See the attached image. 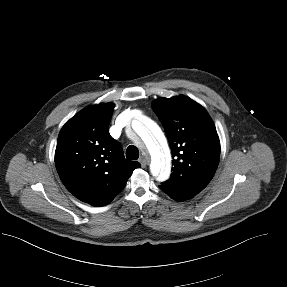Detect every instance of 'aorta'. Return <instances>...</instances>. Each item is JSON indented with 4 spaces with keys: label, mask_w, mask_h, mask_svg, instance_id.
Listing matches in <instances>:
<instances>
[{
    "label": "aorta",
    "mask_w": 287,
    "mask_h": 287,
    "mask_svg": "<svg viewBox=\"0 0 287 287\" xmlns=\"http://www.w3.org/2000/svg\"><path fill=\"white\" fill-rule=\"evenodd\" d=\"M147 125L157 139L151 137L146 140V147L151 157L150 171L159 180L165 181L171 173V156L167 146L166 138L159 126L151 119L146 118Z\"/></svg>",
    "instance_id": "762f6f07"
}]
</instances>
